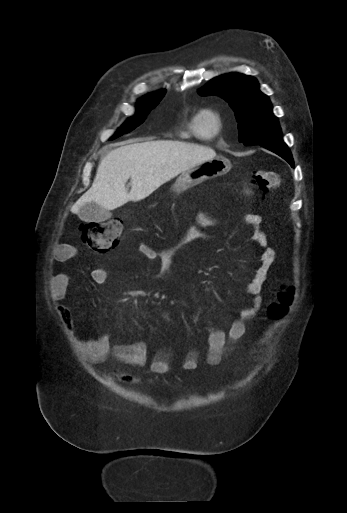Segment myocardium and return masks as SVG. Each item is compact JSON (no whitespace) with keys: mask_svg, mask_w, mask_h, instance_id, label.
I'll return each instance as SVG.
<instances>
[{"mask_svg":"<svg viewBox=\"0 0 347 513\" xmlns=\"http://www.w3.org/2000/svg\"><path fill=\"white\" fill-rule=\"evenodd\" d=\"M210 120L213 123V127L211 129L206 130L204 128V121ZM223 116L222 114L213 108H204L198 112L197 115V128L200 133H202L207 138H212L217 136L223 129Z\"/></svg>","mask_w":347,"mask_h":513,"instance_id":"f54148a6","label":"myocardium"}]
</instances>
